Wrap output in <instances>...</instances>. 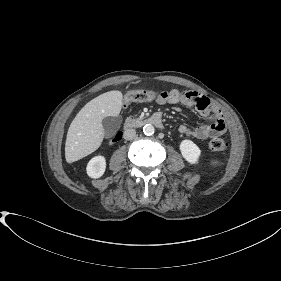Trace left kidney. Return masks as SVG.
<instances>
[{
    "instance_id": "left-kidney-1",
    "label": "left kidney",
    "mask_w": 281,
    "mask_h": 281,
    "mask_svg": "<svg viewBox=\"0 0 281 281\" xmlns=\"http://www.w3.org/2000/svg\"><path fill=\"white\" fill-rule=\"evenodd\" d=\"M183 158L190 164H197L201 156L200 148L191 140L185 139L180 143Z\"/></svg>"
}]
</instances>
